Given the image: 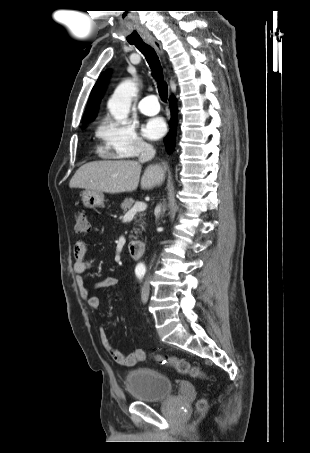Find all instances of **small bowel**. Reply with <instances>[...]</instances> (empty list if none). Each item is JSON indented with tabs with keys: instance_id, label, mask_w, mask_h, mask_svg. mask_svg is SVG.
I'll list each match as a JSON object with an SVG mask.
<instances>
[{
	"instance_id": "c3829d8e",
	"label": "small bowel",
	"mask_w": 310,
	"mask_h": 453,
	"mask_svg": "<svg viewBox=\"0 0 310 453\" xmlns=\"http://www.w3.org/2000/svg\"><path fill=\"white\" fill-rule=\"evenodd\" d=\"M73 256V271L76 276V283L78 286L79 294L83 299L87 300L88 305L92 309L97 310L100 307V299L97 296L90 295V291L105 288H114L117 285L118 280L116 277L107 276L93 283L91 288L86 287L84 274L91 266V261L88 258L87 244L83 241L76 242L73 250ZM99 339L107 354L119 365L125 367H133L137 363L144 361L146 358L145 352L142 349H136L128 354H124L123 352L118 350L110 342L105 329L102 327L99 329Z\"/></svg>"
}]
</instances>
